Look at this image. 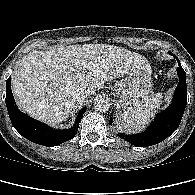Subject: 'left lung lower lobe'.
<instances>
[{
	"mask_svg": "<svg viewBox=\"0 0 195 195\" xmlns=\"http://www.w3.org/2000/svg\"><path fill=\"white\" fill-rule=\"evenodd\" d=\"M170 54L173 55V53ZM178 65L177 73L179 83L176 87L173 101L169 107L157 115V118L145 132L135 135H125L121 133L119 135L120 138L134 146L148 147L162 142L178 128L187 104L186 73L179 60ZM109 124H112V119H110Z\"/></svg>",
	"mask_w": 195,
	"mask_h": 195,
	"instance_id": "0a47b994",
	"label": "left lung lower lobe"
}]
</instances>
